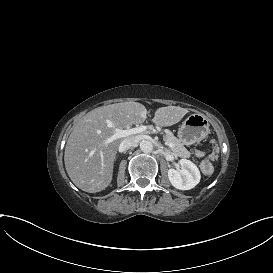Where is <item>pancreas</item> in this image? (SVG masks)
Here are the masks:
<instances>
[{
    "mask_svg": "<svg viewBox=\"0 0 273 273\" xmlns=\"http://www.w3.org/2000/svg\"><path fill=\"white\" fill-rule=\"evenodd\" d=\"M163 140L174 144L173 148L169 147L166 151H171L174 153V155L182 158L190 157V152L183 146L180 140L173 135L171 131L165 130V136L163 137Z\"/></svg>",
    "mask_w": 273,
    "mask_h": 273,
    "instance_id": "obj_1",
    "label": "pancreas"
}]
</instances>
